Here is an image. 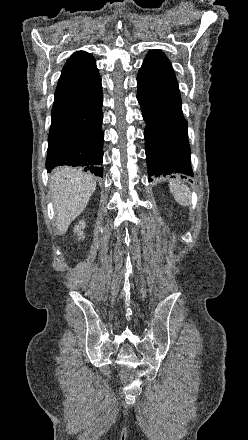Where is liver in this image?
<instances>
[{
	"label": "liver",
	"mask_w": 248,
	"mask_h": 440,
	"mask_svg": "<svg viewBox=\"0 0 248 440\" xmlns=\"http://www.w3.org/2000/svg\"><path fill=\"white\" fill-rule=\"evenodd\" d=\"M55 208V226L64 234L74 219L86 208L96 189V181L80 169L59 167L50 177Z\"/></svg>",
	"instance_id": "obj_1"
}]
</instances>
